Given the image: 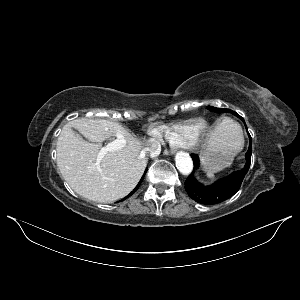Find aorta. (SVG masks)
Returning <instances> with one entry per match:
<instances>
[{
  "label": "aorta",
  "instance_id": "obj_1",
  "mask_svg": "<svg viewBox=\"0 0 300 300\" xmlns=\"http://www.w3.org/2000/svg\"><path fill=\"white\" fill-rule=\"evenodd\" d=\"M175 163L177 169L183 175H188L193 169V161L190 155L186 152H178L175 156Z\"/></svg>",
  "mask_w": 300,
  "mask_h": 300
}]
</instances>
